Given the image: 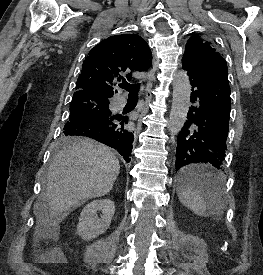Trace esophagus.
<instances>
[{"label":"esophagus","mask_w":263,"mask_h":275,"mask_svg":"<svg viewBox=\"0 0 263 275\" xmlns=\"http://www.w3.org/2000/svg\"><path fill=\"white\" fill-rule=\"evenodd\" d=\"M151 88H152V79H149L147 83V92H146L147 98L151 96Z\"/></svg>","instance_id":"esophagus-1"}]
</instances>
